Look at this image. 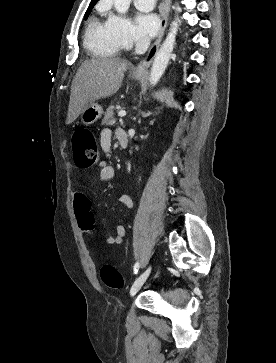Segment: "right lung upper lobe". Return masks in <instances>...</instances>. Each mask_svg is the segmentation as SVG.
Instances as JSON below:
<instances>
[{
  "mask_svg": "<svg viewBox=\"0 0 276 363\" xmlns=\"http://www.w3.org/2000/svg\"><path fill=\"white\" fill-rule=\"evenodd\" d=\"M98 0H91V3L89 5V8L90 7H93L96 3H97Z\"/></svg>",
  "mask_w": 276,
  "mask_h": 363,
  "instance_id": "cb5924a9",
  "label": "right lung upper lobe"
}]
</instances>
